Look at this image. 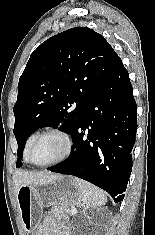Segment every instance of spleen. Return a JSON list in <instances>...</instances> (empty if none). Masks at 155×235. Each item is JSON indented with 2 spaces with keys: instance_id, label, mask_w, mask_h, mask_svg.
Instances as JSON below:
<instances>
[{
  "instance_id": "1",
  "label": "spleen",
  "mask_w": 155,
  "mask_h": 235,
  "mask_svg": "<svg viewBox=\"0 0 155 235\" xmlns=\"http://www.w3.org/2000/svg\"><path fill=\"white\" fill-rule=\"evenodd\" d=\"M74 181L80 189L82 201L87 208H96L106 204L107 197L101 189L79 178H74Z\"/></svg>"
}]
</instances>
